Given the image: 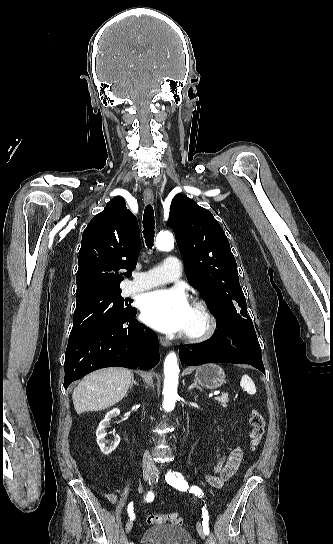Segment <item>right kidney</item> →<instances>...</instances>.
Returning <instances> with one entry per match:
<instances>
[{
    "label": "right kidney",
    "instance_id": "obj_1",
    "mask_svg": "<svg viewBox=\"0 0 333 544\" xmlns=\"http://www.w3.org/2000/svg\"><path fill=\"white\" fill-rule=\"evenodd\" d=\"M119 414L120 410L118 408H114L107 412L105 418L100 422L96 430L97 444L104 455H109L120 443V437L118 435H116L111 442L105 439L107 435L105 428L109 425L110 420L117 417Z\"/></svg>",
    "mask_w": 333,
    "mask_h": 544
}]
</instances>
